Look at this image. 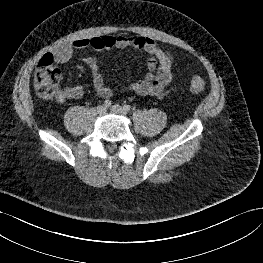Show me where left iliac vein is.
Segmentation results:
<instances>
[{
  "mask_svg": "<svg viewBox=\"0 0 263 263\" xmlns=\"http://www.w3.org/2000/svg\"><path fill=\"white\" fill-rule=\"evenodd\" d=\"M110 110H111L112 113H115V114H119V115H122V116L126 115V111L124 110V108H122L118 104L113 105L110 108Z\"/></svg>",
  "mask_w": 263,
  "mask_h": 263,
  "instance_id": "4c4485c4",
  "label": "left iliac vein"
}]
</instances>
